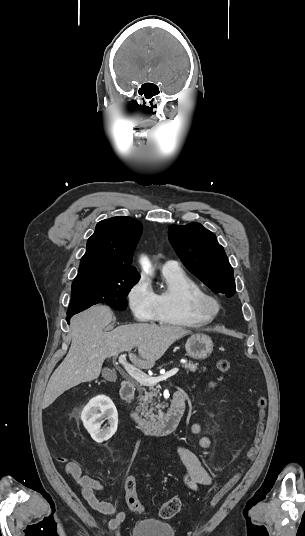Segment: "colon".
<instances>
[{
	"label": "colon",
	"instance_id": "colon-1",
	"mask_svg": "<svg viewBox=\"0 0 305 536\" xmlns=\"http://www.w3.org/2000/svg\"><path fill=\"white\" fill-rule=\"evenodd\" d=\"M231 368V362L227 358H222L217 361V369L222 373H228ZM267 408V399L265 396H260L257 399L258 417L255 428V434L253 438V444L248 452V462L253 458L257 447L260 445L263 433H264V420ZM241 476V472L236 473L229 481H227L222 488L216 493L212 500V506H216L224 496L230 491V489L237 483ZM127 482L124 483V499L127 506L135 513H142L144 506L142 505L135 482V477L132 474L127 475ZM180 508V501L177 497H173L164 502L159 508V515L164 520L172 518Z\"/></svg>",
	"mask_w": 305,
	"mask_h": 536
}]
</instances>
